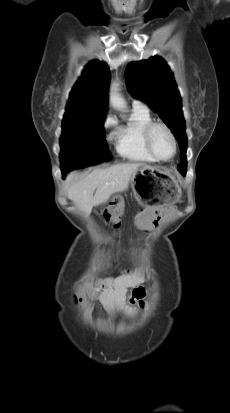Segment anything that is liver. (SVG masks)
<instances>
[{"instance_id":"1","label":"liver","mask_w":230,"mask_h":413,"mask_svg":"<svg viewBox=\"0 0 230 413\" xmlns=\"http://www.w3.org/2000/svg\"><path fill=\"white\" fill-rule=\"evenodd\" d=\"M141 166L143 164L132 162L114 164L93 170L81 179L72 172L66 178L67 197L89 216L94 206L107 202L112 194L128 189L132 175Z\"/></svg>"}]
</instances>
